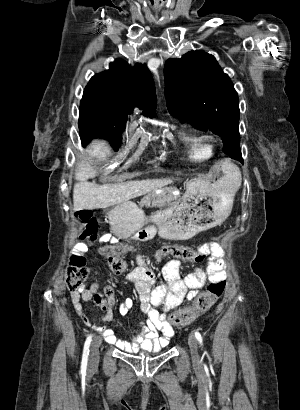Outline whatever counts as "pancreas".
Segmentation results:
<instances>
[{
    "label": "pancreas",
    "instance_id": "cf45deb5",
    "mask_svg": "<svg viewBox=\"0 0 300 410\" xmlns=\"http://www.w3.org/2000/svg\"><path fill=\"white\" fill-rule=\"evenodd\" d=\"M178 196L173 195L171 192L165 191L160 194H155L154 196H146L141 201V205H146L148 207H160L165 208L169 204L174 203L177 200Z\"/></svg>",
    "mask_w": 300,
    "mask_h": 410
}]
</instances>
